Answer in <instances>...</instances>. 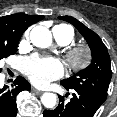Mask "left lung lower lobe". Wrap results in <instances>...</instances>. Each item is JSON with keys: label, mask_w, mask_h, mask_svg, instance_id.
<instances>
[{"label": "left lung lower lobe", "mask_w": 117, "mask_h": 117, "mask_svg": "<svg viewBox=\"0 0 117 117\" xmlns=\"http://www.w3.org/2000/svg\"><path fill=\"white\" fill-rule=\"evenodd\" d=\"M73 91L70 102L64 103L63 97L60 96L61 103L58 107L54 110H44L43 117H93L103 103L82 90Z\"/></svg>", "instance_id": "left-lung-lower-lobe-1"}]
</instances>
